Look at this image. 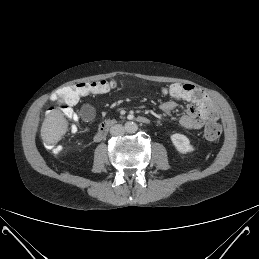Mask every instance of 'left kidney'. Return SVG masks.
Listing matches in <instances>:
<instances>
[{
  "label": "left kidney",
  "instance_id": "obj_1",
  "mask_svg": "<svg viewBox=\"0 0 259 259\" xmlns=\"http://www.w3.org/2000/svg\"><path fill=\"white\" fill-rule=\"evenodd\" d=\"M170 138L179 153L186 154L194 150L193 146L190 144L189 139L185 135L175 133L172 134Z\"/></svg>",
  "mask_w": 259,
  "mask_h": 259
}]
</instances>
